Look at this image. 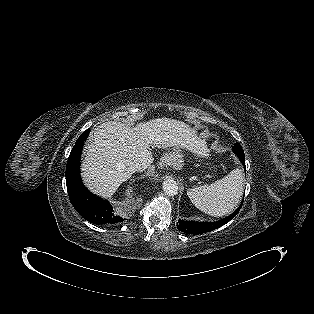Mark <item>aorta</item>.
Returning <instances> with one entry per match:
<instances>
[{"instance_id":"762f6f07","label":"aorta","mask_w":314,"mask_h":314,"mask_svg":"<svg viewBox=\"0 0 314 314\" xmlns=\"http://www.w3.org/2000/svg\"><path fill=\"white\" fill-rule=\"evenodd\" d=\"M162 187L164 192L170 196H175L176 194H178V184L172 178L166 179L163 182Z\"/></svg>"}]
</instances>
